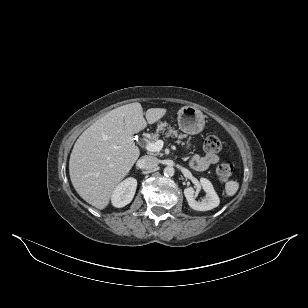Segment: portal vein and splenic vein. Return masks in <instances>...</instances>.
I'll return each instance as SVG.
<instances>
[{"instance_id": "portal-vein-and-splenic-vein-1", "label": "portal vein and splenic vein", "mask_w": 308, "mask_h": 308, "mask_svg": "<svg viewBox=\"0 0 308 308\" xmlns=\"http://www.w3.org/2000/svg\"><path fill=\"white\" fill-rule=\"evenodd\" d=\"M164 146L163 140H157L155 143H147L146 150L150 152H159Z\"/></svg>"}]
</instances>
